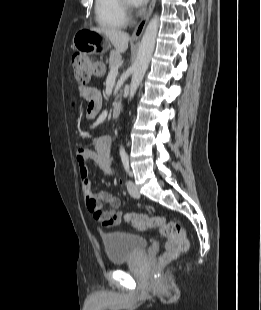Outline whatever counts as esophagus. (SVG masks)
<instances>
[{
  "label": "esophagus",
  "instance_id": "esophagus-1",
  "mask_svg": "<svg viewBox=\"0 0 261 310\" xmlns=\"http://www.w3.org/2000/svg\"><path fill=\"white\" fill-rule=\"evenodd\" d=\"M155 3H156V0H151L150 2V5H149V8L145 14V16L141 19V21L137 24L135 30L133 31L132 33V39H139L146 27V24L152 14V11L154 9V6H155Z\"/></svg>",
  "mask_w": 261,
  "mask_h": 310
}]
</instances>
